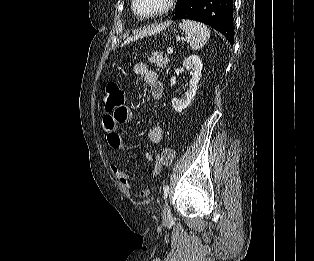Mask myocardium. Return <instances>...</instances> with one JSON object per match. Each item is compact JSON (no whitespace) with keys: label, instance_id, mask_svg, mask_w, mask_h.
Wrapping results in <instances>:
<instances>
[{"label":"myocardium","instance_id":"obj_1","mask_svg":"<svg viewBox=\"0 0 314 261\" xmlns=\"http://www.w3.org/2000/svg\"><path fill=\"white\" fill-rule=\"evenodd\" d=\"M175 2H176V0H166L165 5L162 9H160L156 12L150 13V14L140 13L136 8V0H131V8H132V11L134 12V14L136 16H138L139 18L150 19V18H156V17L162 16V15L168 13L173 8Z\"/></svg>","mask_w":314,"mask_h":261}]
</instances>
